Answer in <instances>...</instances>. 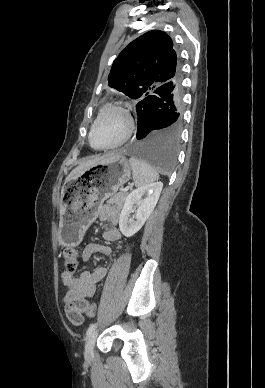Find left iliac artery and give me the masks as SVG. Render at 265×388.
I'll list each match as a JSON object with an SVG mask.
<instances>
[{
    "label": "left iliac artery",
    "mask_w": 265,
    "mask_h": 388,
    "mask_svg": "<svg viewBox=\"0 0 265 388\" xmlns=\"http://www.w3.org/2000/svg\"><path fill=\"white\" fill-rule=\"evenodd\" d=\"M97 327V324L94 323V324H91L86 332L87 335H89L92 331L95 330V328Z\"/></svg>",
    "instance_id": "left-iliac-artery-1"
}]
</instances>
